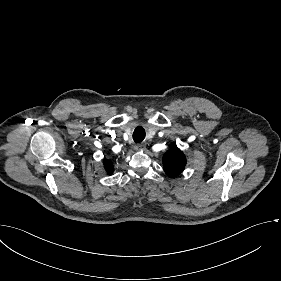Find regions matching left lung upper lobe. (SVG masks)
Here are the masks:
<instances>
[{
    "mask_svg": "<svg viewBox=\"0 0 281 281\" xmlns=\"http://www.w3.org/2000/svg\"><path fill=\"white\" fill-rule=\"evenodd\" d=\"M164 171L168 176L179 175L186 165V158L178 148L169 150L163 156Z\"/></svg>",
    "mask_w": 281,
    "mask_h": 281,
    "instance_id": "obj_1",
    "label": "left lung upper lobe"
}]
</instances>
